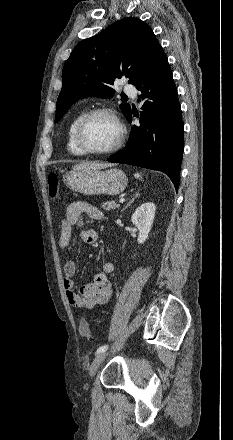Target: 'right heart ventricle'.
I'll return each instance as SVG.
<instances>
[{"label": "right heart ventricle", "mask_w": 233, "mask_h": 440, "mask_svg": "<svg viewBox=\"0 0 233 440\" xmlns=\"http://www.w3.org/2000/svg\"><path fill=\"white\" fill-rule=\"evenodd\" d=\"M83 112L78 113L70 122L69 126H68V131H67V150L70 154L74 155V156H83L84 154L78 149V147L75 144V139H74V132H75V127L79 121V119L81 118V116L83 115Z\"/></svg>", "instance_id": "1"}]
</instances>
